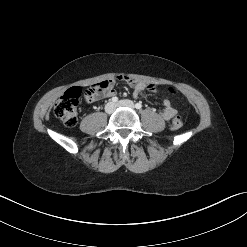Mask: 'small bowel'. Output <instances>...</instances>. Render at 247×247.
I'll return each mask as SVG.
<instances>
[{
  "label": "small bowel",
  "instance_id": "c3829d8e",
  "mask_svg": "<svg viewBox=\"0 0 247 247\" xmlns=\"http://www.w3.org/2000/svg\"><path fill=\"white\" fill-rule=\"evenodd\" d=\"M117 80L123 81L128 86H130L133 89L134 95L136 97L142 96L146 90L154 91L156 89V86L151 83L136 81L134 79L125 76L117 77ZM113 86H114V80H109V87L103 92L99 93L97 96L93 98H88V101L93 102V101H98L105 97L114 96L116 94V91ZM175 114H176V110L173 107L171 101L165 97L163 99V109L161 111L162 118L168 121L172 119L175 116Z\"/></svg>",
  "mask_w": 247,
  "mask_h": 247
}]
</instances>
